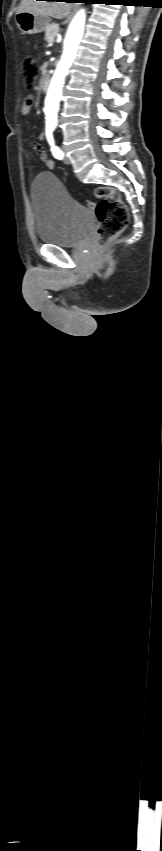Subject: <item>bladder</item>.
Wrapping results in <instances>:
<instances>
[{
	"instance_id": "bladder-1",
	"label": "bladder",
	"mask_w": 162,
	"mask_h": 851,
	"mask_svg": "<svg viewBox=\"0 0 162 851\" xmlns=\"http://www.w3.org/2000/svg\"><path fill=\"white\" fill-rule=\"evenodd\" d=\"M36 235L46 244L62 248L81 245L95 224L93 212L74 200L52 173H41L31 183Z\"/></svg>"
}]
</instances>
